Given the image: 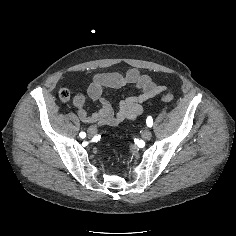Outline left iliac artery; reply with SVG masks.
Returning a JSON list of instances; mask_svg holds the SVG:
<instances>
[{
	"label": "left iliac artery",
	"mask_w": 236,
	"mask_h": 236,
	"mask_svg": "<svg viewBox=\"0 0 236 236\" xmlns=\"http://www.w3.org/2000/svg\"><path fill=\"white\" fill-rule=\"evenodd\" d=\"M146 123H147V126H148V127H152V125H153V119H152L151 116H149V117L147 118Z\"/></svg>",
	"instance_id": "left-iliac-artery-1"
}]
</instances>
